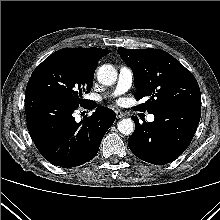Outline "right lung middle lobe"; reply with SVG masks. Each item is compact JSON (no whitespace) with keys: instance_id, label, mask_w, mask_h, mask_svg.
I'll list each match as a JSON object with an SVG mask.
<instances>
[{"instance_id":"obj_1","label":"right lung middle lobe","mask_w":220,"mask_h":220,"mask_svg":"<svg viewBox=\"0 0 220 220\" xmlns=\"http://www.w3.org/2000/svg\"><path fill=\"white\" fill-rule=\"evenodd\" d=\"M95 68L78 58L55 52L33 71L25 96L43 94L59 98L75 106L85 104L82 93H89L93 85Z\"/></svg>"}]
</instances>
